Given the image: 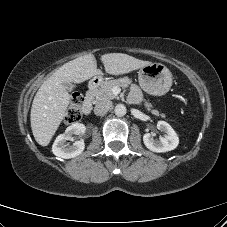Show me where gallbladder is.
I'll return each mask as SVG.
<instances>
[{"label": "gallbladder", "mask_w": 227, "mask_h": 227, "mask_svg": "<svg viewBox=\"0 0 227 227\" xmlns=\"http://www.w3.org/2000/svg\"><path fill=\"white\" fill-rule=\"evenodd\" d=\"M64 86H65V89L67 91H69V92H71L73 90V88H74V85L72 83H70V82L65 83Z\"/></svg>", "instance_id": "1"}]
</instances>
